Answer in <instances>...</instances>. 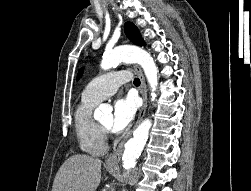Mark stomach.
I'll return each mask as SVG.
<instances>
[{"mask_svg": "<svg viewBox=\"0 0 251 191\" xmlns=\"http://www.w3.org/2000/svg\"><path fill=\"white\" fill-rule=\"evenodd\" d=\"M106 167V165H105ZM106 169H108V171H114V169H116L115 165H111V167H106Z\"/></svg>", "mask_w": 251, "mask_h": 191, "instance_id": "1", "label": "stomach"}]
</instances>
